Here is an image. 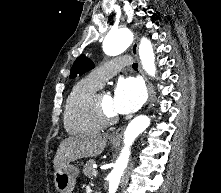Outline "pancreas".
I'll return each instance as SVG.
<instances>
[{
    "instance_id": "obj_1",
    "label": "pancreas",
    "mask_w": 221,
    "mask_h": 193,
    "mask_svg": "<svg viewBox=\"0 0 221 193\" xmlns=\"http://www.w3.org/2000/svg\"><path fill=\"white\" fill-rule=\"evenodd\" d=\"M95 163L94 160H88L86 164L83 166V173L85 176L88 178L92 179L93 178V164Z\"/></svg>"
}]
</instances>
